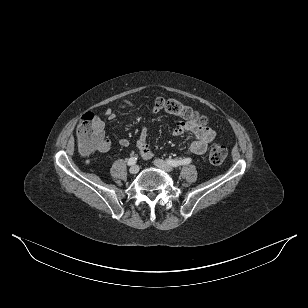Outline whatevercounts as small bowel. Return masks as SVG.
Returning <instances> with one entry per match:
<instances>
[{
	"label": "small bowel",
	"mask_w": 308,
	"mask_h": 308,
	"mask_svg": "<svg viewBox=\"0 0 308 308\" xmlns=\"http://www.w3.org/2000/svg\"><path fill=\"white\" fill-rule=\"evenodd\" d=\"M134 102L130 100H124L120 104V108H134ZM154 112H157V109H153ZM104 116L108 120H113L116 118V113L112 109H106ZM98 121L103 129L104 124L100 118ZM174 136H180L184 133H190L193 136V140L189 146V154L192 155H202L206 152L209 143H211L215 138V132L212 128L200 125L192 121H183L178 120L172 131ZM148 131L146 127H142L139 130L138 137L136 139V146L138 148L139 154L143 159H150L152 157V152L148 144ZM130 141L128 138L124 137L119 140V145L122 147H127ZM111 142L109 139L104 138L101 142V145L97 150L100 152H106L110 149Z\"/></svg>",
	"instance_id": "small-bowel-1"
}]
</instances>
